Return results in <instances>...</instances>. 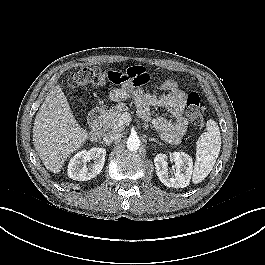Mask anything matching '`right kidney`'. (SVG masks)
Returning <instances> with one entry per match:
<instances>
[{
    "instance_id": "1",
    "label": "right kidney",
    "mask_w": 265,
    "mask_h": 265,
    "mask_svg": "<svg viewBox=\"0 0 265 265\" xmlns=\"http://www.w3.org/2000/svg\"><path fill=\"white\" fill-rule=\"evenodd\" d=\"M106 150L104 148H92L82 150L75 154L68 165V176L73 180L87 181L96 177L102 170L105 162ZM93 160L89 168L86 163Z\"/></svg>"
}]
</instances>
